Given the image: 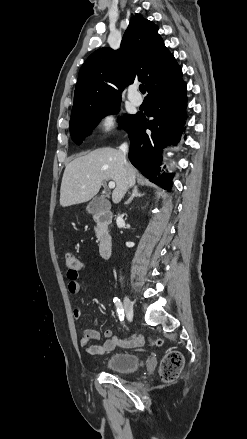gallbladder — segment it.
Returning a JSON list of instances; mask_svg holds the SVG:
<instances>
[{
    "mask_svg": "<svg viewBox=\"0 0 247 439\" xmlns=\"http://www.w3.org/2000/svg\"><path fill=\"white\" fill-rule=\"evenodd\" d=\"M107 209V206L104 204V199L102 198H94L91 200L87 206V211L90 214L97 213L99 211H104Z\"/></svg>",
    "mask_w": 247,
    "mask_h": 439,
    "instance_id": "bac80fb5",
    "label": "gallbladder"
}]
</instances>
